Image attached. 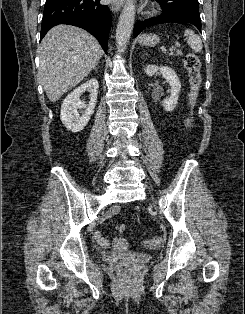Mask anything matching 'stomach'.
Wrapping results in <instances>:
<instances>
[{"label":"stomach","instance_id":"obj_1","mask_svg":"<svg viewBox=\"0 0 245 314\" xmlns=\"http://www.w3.org/2000/svg\"><path fill=\"white\" fill-rule=\"evenodd\" d=\"M139 43L142 45L153 47L159 43V37L157 35H154V34L142 35L139 38Z\"/></svg>","mask_w":245,"mask_h":314}]
</instances>
